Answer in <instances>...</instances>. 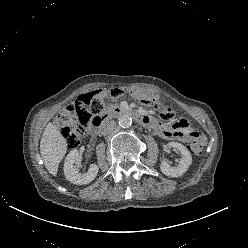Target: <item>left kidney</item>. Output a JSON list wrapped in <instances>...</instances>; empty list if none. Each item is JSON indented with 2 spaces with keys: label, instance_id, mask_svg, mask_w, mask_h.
<instances>
[{
  "label": "left kidney",
  "instance_id": "left-kidney-1",
  "mask_svg": "<svg viewBox=\"0 0 248 248\" xmlns=\"http://www.w3.org/2000/svg\"><path fill=\"white\" fill-rule=\"evenodd\" d=\"M168 147H172L178 150L181 153L182 157L176 167H171L165 160H163L161 162L160 169L166 176L179 177L183 175L192 164L191 153L184 145L178 142H170L168 143Z\"/></svg>",
  "mask_w": 248,
  "mask_h": 248
}]
</instances>
